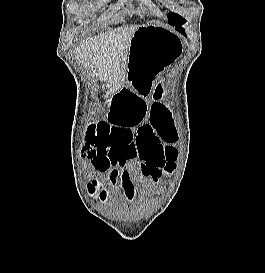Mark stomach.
Listing matches in <instances>:
<instances>
[{"instance_id": "0dacf381", "label": "stomach", "mask_w": 265, "mask_h": 273, "mask_svg": "<svg viewBox=\"0 0 265 273\" xmlns=\"http://www.w3.org/2000/svg\"><path fill=\"white\" fill-rule=\"evenodd\" d=\"M182 45L172 32L156 25L137 27L129 46L128 85L134 95H147L152 83L180 54Z\"/></svg>"}]
</instances>
